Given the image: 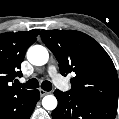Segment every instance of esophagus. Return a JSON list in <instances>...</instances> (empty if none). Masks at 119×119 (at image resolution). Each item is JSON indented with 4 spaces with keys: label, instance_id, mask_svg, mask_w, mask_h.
Wrapping results in <instances>:
<instances>
[{
    "label": "esophagus",
    "instance_id": "1",
    "mask_svg": "<svg viewBox=\"0 0 119 119\" xmlns=\"http://www.w3.org/2000/svg\"><path fill=\"white\" fill-rule=\"evenodd\" d=\"M39 93H40V96H41V97H43V96H45V95L48 94V92H46V91L43 90V89H39Z\"/></svg>",
    "mask_w": 119,
    "mask_h": 119
}]
</instances>
